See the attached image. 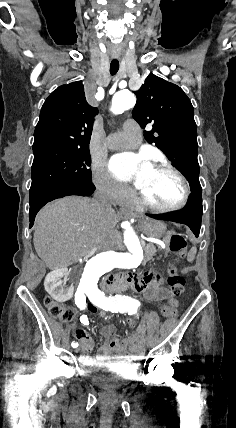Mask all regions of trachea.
<instances>
[{
    "label": "trachea",
    "instance_id": "obj_1",
    "mask_svg": "<svg viewBox=\"0 0 236 428\" xmlns=\"http://www.w3.org/2000/svg\"><path fill=\"white\" fill-rule=\"evenodd\" d=\"M119 70V62L118 57L114 54L111 57V63H110V74L115 75Z\"/></svg>",
    "mask_w": 236,
    "mask_h": 428
}]
</instances>
